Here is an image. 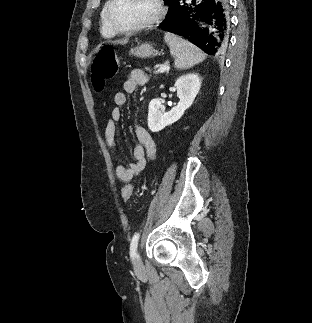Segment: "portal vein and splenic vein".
Listing matches in <instances>:
<instances>
[{
    "label": "portal vein and splenic vein",
    "mask_w": 312,
    "mask_h": 323,
    "mask_svg": "<svg viewBox=\"0 0 312 323\" xmlns=\"http://www.w3.org/2000/svg\"><path fill=\"white\" fill-rule=\"evenodd\" d=\"M167 70H169V66H162V68H159L158 72H160V74H163V72H167Z\"/></svg>",
    "instance_id": "1"
}]
</instances>
